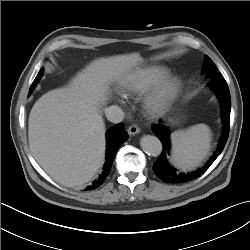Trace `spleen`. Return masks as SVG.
<instances>
[{"label": "spleen", "instance_id": "3e777b00", "mask_svg": "<svg viewBox=\"0 0 250 250\" xmlns=\"http://www.w3.org/2000/svg\"><path fill=\"white\" fill-rule=\"evenodd\" d=\"M212 134L205 124H197L171 134V161L186 171L197 167L209 154Z\"/></svg>", "mask_w": 250, "mask_h": 250}]
</instances>
